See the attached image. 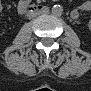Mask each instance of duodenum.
Here are the masks:
<instances>
[{"instance_id": "410a0bca", "label": "duodenum", "mask_w": 91, "mask_h": 91, "mask_svg": "<svg viewBox=\"0 0 91 91\" xmlns=\"http://www.w3.org/2000/svg\"><path fill=\"white\" fill-rule=\"evenodd\" d=\"M48 8L49 7L46 4H33L28 8L27 13L33 15L36 13L45 12L48 10Z\"/></svg>"}]
</instances>
